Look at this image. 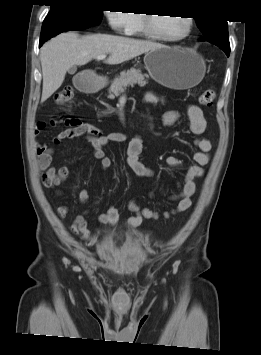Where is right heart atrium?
Masks as SVG:
<instances>
[{
    "label": "right heart atrium",
    "mask_w": 261,
    "mask_h": 355,
    "mask_svg": "<svg viewBox=\"0 0 261 355\" xmlns=\"http://www.w3.org/2000/svg\"><path fill=\"white\" fill-rule=\"evenodd\" d=\"M107 20L112 29L121 34H129L134 23V14L129 10L106 12Z\"/></svg>",
    "instance_id": "1"
}]
</instances>
